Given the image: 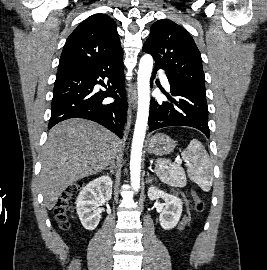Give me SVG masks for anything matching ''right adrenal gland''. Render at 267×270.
I'll list each match as a JSON object with an SVG mask.
<instances>
[{"label":"right adrenal gland","instance_id":"2a0ac1e0","mask_svg":"<svg viewBox=\"0 0 267 270\" xmlns=\"http://www.w3.org/2000/svg\"><path fill=\"white\" fill-rule=\"evenodd\" d=\"M114 168V163H112L111 166L106 168L105 170H109L111 174H114Z\"/></svg>","mask_w":267,"mask_h":270}]
</instances>
